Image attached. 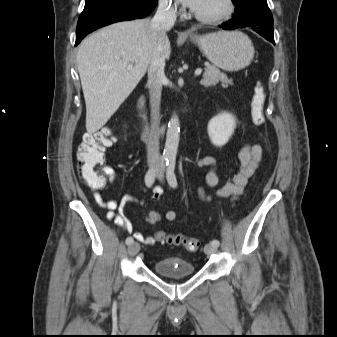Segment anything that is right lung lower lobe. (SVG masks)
Masks as SVG:
<instances>
[{"mask_svg": "<svg viewBox=\"0 0 337 337\" xmlns=\"http://www.w3.org/2000/svg\"><path fill=\"white\" fill-rule=\"evenodd\" d=\"M158 0H85L76 30V42L103 26L136 18H143L153 11Z\"/></svg>", "mask_w": 337, "mask_h": 337, "instance_id": "1", "label": "right lung lower lobe"}]
</instances>
